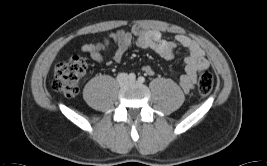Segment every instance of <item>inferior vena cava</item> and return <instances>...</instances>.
<instances>
[{"instance_id": "inferior-vena-cava-1", "label": "inferior vena cava", "mask_w": 267, "mask_h": 166, "mask_svg": "<svg viewBox=\"0 0 267 166\" xmlns=\"http://www.w3.org/2000/svg\"><path fill=\"white\" fill-rule=\"evenodd\" d=\"M126 76H127L126 74H120L119 79H120V77H126Z\"/></svg>"}]
</instances>
